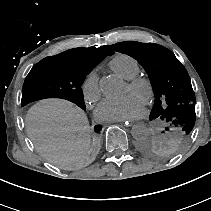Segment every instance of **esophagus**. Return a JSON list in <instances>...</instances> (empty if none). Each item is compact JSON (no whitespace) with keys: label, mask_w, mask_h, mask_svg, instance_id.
<instances>
[{"label":"esophagus","mask_w":211,"mask_h":211,"mask_svg":"<svg viewBox=\"0 0 211 211\" xmlns=\"http://www.w3.org/2000/svg\"><path fill=\"white\" fill-rule=\"evenodd\" d=\"M112 122H116V125L118 127H130L132 125V122L130 120H118Z\"/></svg>","instance_id":"1"}]
</instances>
